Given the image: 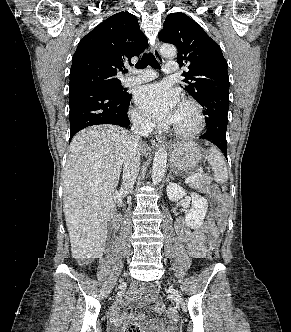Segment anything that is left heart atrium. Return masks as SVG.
<instances>
[{
	"label": "left heart atrium",
	"instance_id": "1",
	"mask_svg": "<svg viewBox=\"0 0 291 332\" xmlns=\"http://www.w3.org/2000/svg\"><path fill=\"white\" fill-rule=\"evenodd\" d=\"M179 93L166 83L143 86L136 93V102L143 113L158 123L172 124L179 106Z\"/></svg>",
	"mask_w": 291,
	"mask_h": 332
}]
</instances>
